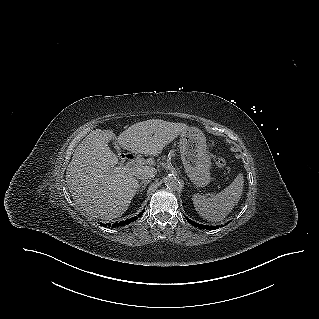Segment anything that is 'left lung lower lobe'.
I'll list each match as a JSON object with an SVG mask.
<instances>
[{"mask_svg":"<svg viewBox=\"0 0 319 319\" xmlns=\"http://www.w3.org/2000/svg\"><path fill=\"white\" fill-rule=\"evenodd\" d=\"M187 221H188L190 224H192L193 226L198 227V228H200V229L214 230V229L218 228V227H215V226H205V225H201V224L195 223L194 221H192V220H190V219H188V218H187Z\"/></svg>","mask_w":319,"mask_h":319,"instance_id":"1","label":"left lung lower lobe"}]
</instances>
